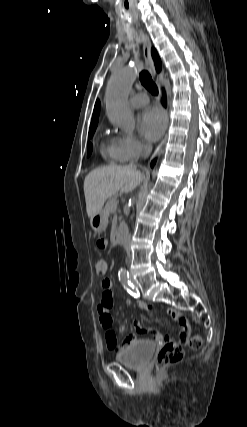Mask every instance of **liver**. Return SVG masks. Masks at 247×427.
<instances>
[{
  "mask_svg": "<svg viewBox=\"0 0 247 427\" xmlns=\"http://www.w3.org/2000/svg\"><path fill=\"white\" fill-rule=\"evenodd\" d=\"M144 175L134 165L106 166L92 170L84 180L86 211L91 219L98 214L110 196L121 190H134Z\"/></svg>",
  "mask_w": 247,
  "mask_h": 427,
  "instance_id": "liver-1",
  "label": "liver"
}]
</instances>
